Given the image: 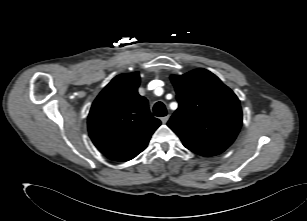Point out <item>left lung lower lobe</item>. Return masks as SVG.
I'll return each mask as SVG.
<instances>
[{
    "mask_svg": "<svg viewBox=\"0 0 307 221\" xmlns=\"http://www.w3.org/2000/svg\"><path fill=\"white\" fill-rule=\"evenodd\" d=\"M192 151L199 154V155L206 156V157L217 155V154H214L212 152L203 151V150H192Z\"/></svg>",
    "mask_w": 307,
    "mask_h": 221,
    "instance_id": "left-lung-lower-lobe-1",
    "label": "left lung lower lobe"
}]
</instances>
